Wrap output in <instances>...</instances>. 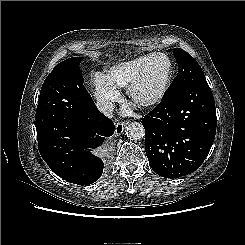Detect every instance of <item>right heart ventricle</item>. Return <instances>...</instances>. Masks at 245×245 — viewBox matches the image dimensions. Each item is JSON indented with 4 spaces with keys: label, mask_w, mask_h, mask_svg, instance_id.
Here are the masks:
<instances>
[{
    "label": "right heart ventricle",
    "mask_w": 245,
    "mask_h": 245,
    "mask_svg": "<svg viewBox=\"0 0 245 245\" xmlns=\"http://www.w3.org/2000/svg\"><path fill=\"white\" fill-rule=\"evenodd\" d=\"M150 54L142 55L111 66L105 78L114 87L127 88Z\"/></svg>",
    "instance_id": "1"
}]
</instances>
